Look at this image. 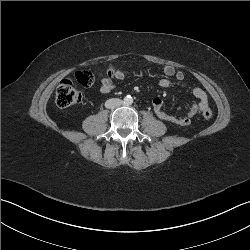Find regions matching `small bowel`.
<instances>
[{
	"instance_id": "small-bowel-1",
	"label": "small bowel",
	"mask_w": 250,
	"mask_h": 250,
	"mask_svg": "<svg viewBox=\"0 0 250 250\" xmlns=\"http://www.w3.org/2000/svg\"><path fill=\"white\" fill-rule=\"evenodd\" d=\"M165 77L158 81V85L161 88H168L176 84L182 88H187L191 91L196 98V102L193 103L186 112L179 115H171L164 110L163 101L159 97H155L152 101L153 110L155 114L163 121L171 125L187 126L191 123L192 119L200 114L203 109L209 107L208 97L204 90L199 87L190 86L185 81V75L182 71L176 70L175 67L167 65L163 69ZM113 77L117 80H121L124 77L121 68H117ZM115 87L113 78H103L99 84V90L103 94L110 93Z\"/></svg>"
}]
</instances>
